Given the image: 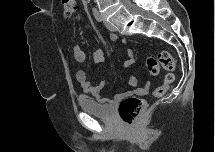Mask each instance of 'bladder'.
Listing matches in <instances>:
<instances>
[{
  "label": "bladder",
  "mask_w": 215,
  "mask_h": 152,
  "mask_svg": "<svg viewBox=\"0 0 215 152\" xmlns=\"http://www.w3.org/2000/svg\"><path fill=\"white\" fill-rule=\"evenodd\" d=\"M79 105L83 111L96 117L107 120L114 117V108L111 104H103L89 97H80Z\"/></svg>",
  "instance_id": "bladder-1"
}]
</instances>
